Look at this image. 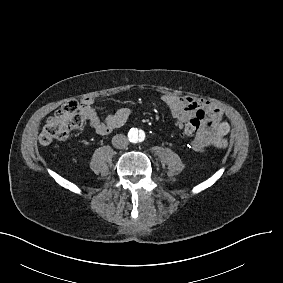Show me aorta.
I'll return each mask as SVG.
<instances>
[{"instance_id":"aorta-1","label":"aorta","mask_w":283,"mask_h":283,"mask_svg":"<svg viewBox=\"0 0 283 283\" xmlns=\"http://www.w3.org/2000/svg\"><path fill=\"white\" fill-rule=\"evenodd\" d=\"M145 137V132L138 128H131L128 132V139L132 143L142 142L144 141Z\"/></svg>"}]
</instances>
